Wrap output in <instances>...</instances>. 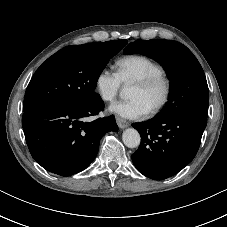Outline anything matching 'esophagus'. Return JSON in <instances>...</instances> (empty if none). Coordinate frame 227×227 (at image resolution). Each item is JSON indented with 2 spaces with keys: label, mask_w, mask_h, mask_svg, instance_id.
<instances>
[{
  "label": "esophagus",
  "mask_w": 227,
  "mask_h": 227,
  "mask_svg": "<svg viewBox=\"0 0 227 227\" xmlns=\"http://www.w3.org/2000/svg\"><path fill=\"white\" fill-rule=\"evenodd\" d=\"M116 123L121 129H124L129 126V123L127 121H125L119 117L116 118Z\"/></svg>",
  "instance_id": "34e87169"
}]
</instances>
